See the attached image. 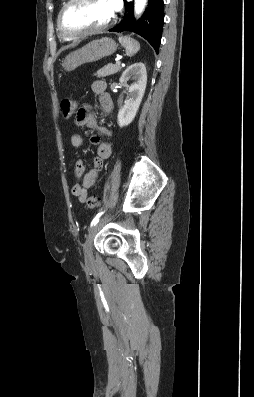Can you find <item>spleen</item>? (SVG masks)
Instances as JSON below:
<instances>
[{"mask_svg":"<svg viewBox=\"0 0 254 397\" xmlns=\"http://www.w3.org/2000/svg\"><path fill=\"white\" fill-rule=\"evenodd\" d=\"M119 42L125 48L126 54L130 57L135 55L140 49L138 41L128 36H120Z\"/></svg>","mask_w":254,"mask_h":397,"instance_id":"obj_1","label":"spleen"}]
</instances>
